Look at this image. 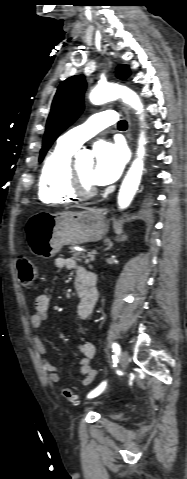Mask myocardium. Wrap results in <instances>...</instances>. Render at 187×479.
Masks as SVG:
<instances>
[{"mask_svg":"<svg viewBox=\"0 0 187 479\" xmlns=\"http://www.w3.org/2000/svg\"><path fill=\"white\" fill-rule=\"evenodd\" d=\"M69 186L78 198H91L98 192L95 185L85 182L77 168L74 166H71L70 168Z\"/></svg>","mask_w":187,"mask_h":479,"instance_id":"f54148a6","label":"myocardium"}]
</instances>
